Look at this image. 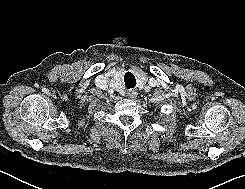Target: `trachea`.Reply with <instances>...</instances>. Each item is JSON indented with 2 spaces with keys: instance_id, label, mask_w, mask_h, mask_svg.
Here are the masks:
<instances>
[{
  "instance_id": "obj_1",
  "label": "trachea",
  "mask_w": 245,
  "mask_h": 189,
  "mask_svg": "<svg viewBox=\"0 0 245 189\" xmlns=\"http://www.w3.org/2000/svg\"><path fill=\"white\" fill-rule=\"evenodd\" d=\"M124 81H125V85L128 89L134 88L136 86L135 76L130 72L126 73Z\"/></svg>"
}]
</instances>
